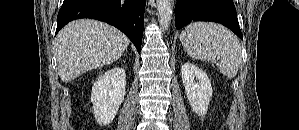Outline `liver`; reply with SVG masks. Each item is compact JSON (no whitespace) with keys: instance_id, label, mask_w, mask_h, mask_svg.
Returning a JSON list of instances; mask_svg holds the SVG:
<instances>
[{"instance_id":"obj_1","label":"liver","mask_w":299,"mask_h":130,"mask_svg":"<svg viewBox=\"0 0 299 130\" xmlns=\"http://www.w3.org/2000/svg\"><path fill=\"white\" fill-rule=\"evenodd\" d=\"M130 41L109 24L81 19L66 25L55 38V55L61 80L71 82L81 74L118 60Z\"/></svg>"}]
</instances>
